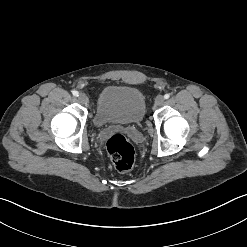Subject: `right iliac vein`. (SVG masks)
Masks as SVG:
<instances>
[{"mask_svg":"<svg viewBox=\"0 0 247 247\" xmlns=\"http://www.w3.org/2000/svg\"><path fill=\"white\" fill-rule=\"evenodd\" d=\"M78 100L83 103L86 104L88 102V97L84 94V93H80L78 95Z\"/></svg>","mask_w":247,"mask_h":247,"instance_id":"63e3f726","label":"right iliac vein"}]
</instances>
